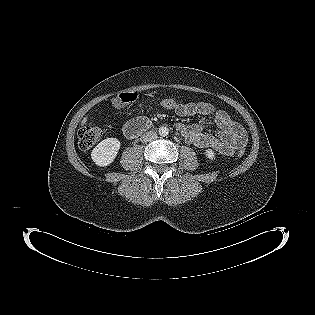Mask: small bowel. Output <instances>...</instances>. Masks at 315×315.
Wrapping results in <instances>:
<instances>
[{
  "label": "small bowel",
  "mask_w": 315,
  "mask_h": 315,
  "mask_svg": "<svg viewBox=\"0 0 315 315\" xmlns=\"http://www.w3.org/2000/svg\"><path fill=\"white\" fill-rule=\"evenodd\" d=\"M175 113L181 117H191L196 114L214 115V122L217 127L215 135L204 133L203 124L188 125L177 123L176 130L184 140L200 149H212L221 155H232L236 150L244 148L247 142L245 129L236 122L226 111L217 110L209 102L177 103Z\"/></svg>",
  "instance_id": "small-bowel-1"
}]
</instances>
